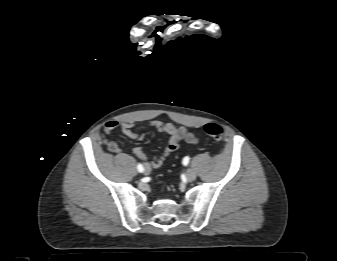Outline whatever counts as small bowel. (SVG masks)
Here are the masks:
<instances>
[{
	"label": "small bowel",
	"instance_id": "c3829d8e",
	"mask_svg": "<svg viewBox=\"0 0 337 261\" xmlns=\"http://www.w3.org/2000/svg\"><path fill=\"white\" fill-rule=\"evenodd\" d=\"M135 124L132 122H119L116 120H110L105 123L104 125V131L109 134L113 130L119 128L121 133L125 136L134 139V140H142L144 137V134L142 132L134 131ZM148 127L154 128L159 133H165L168 135V141L164 149L160 154H158L153 160L150 162H145V166L150 168H158L160 167L165 158L170 155L171 153L175 152L178 148L181 142H186L189 144H195L198 142L197 137L190 132L185 127H176L175 125L171 123H164L159 120L152 121ZM108 148L111 152L119 153L121 152V148L119 144L115 141H111L108 144ZM134 155L145 161L147 156L144 150L140 147H136L133 149Z\"/></svg>",
	"mask_w": 337,
	"mask_h": 261
}]
</instances>
